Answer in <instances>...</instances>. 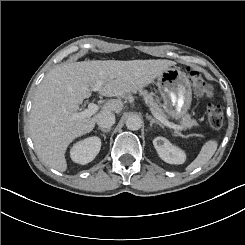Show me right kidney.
<instances>
[{
    "mask_svg": "<svg viewBox=\"0 0 245 245\" xmlns=\"http://www.w3.org/2000/svg\"><path fill=\"white\" fill-rule=\"evenodd\" d=\"M101 149V140L93 136L79 141L70 150V157L73 162L85 165L91 162Z\"/></svg>",
    "mask_w": 245,
    "mask_h": 245,
    "instance_id": "obj_1",
    "label": "right kidney"
}]
</instances>
